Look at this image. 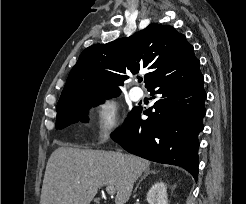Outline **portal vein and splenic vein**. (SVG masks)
Instances as JSON below:
<instances>
[{
	"instance_id": "1",
	"label": "portal vein and splenic vein",
	"mask_w": 246,
	"mask_h": 204,
	"mask_svg": "<svg viewBox=\"0 0 246 204\" xmlns=\"http://www.w3.org/2000/svg\"><path fill=\"white\" fill-rule=\"evenodd\" d=\"M106 191H107V193L110 194V195H112V194L115 193V189H114L113 186H107V187H106Z\"/></svg>"
}]
</instances>
